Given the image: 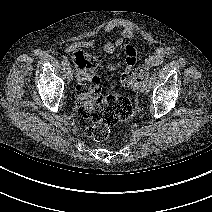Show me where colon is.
Segmentation results:
<instances>
[{"label": "colon", "mask_w": 212, "mask_h": 212, "mask_svg": "<svg viewBox=\"0 0 212 212\" xmlns=\"http://www.w3.org/2000/svg\"><path fill=\"white\" fill-rule=\"evenodd\" d=\"M73 63L77 79L78 111L92 123L86 134L95 141H104L113 132L123 129L124 123L132 114V105L121 94L102 93L96 73L98 60L95 56L76 51ZM121 82L130 87L138 83L128 74L122 75Z\"/></svg>", "instance_id": "5ec220e1"}]
</instances>
